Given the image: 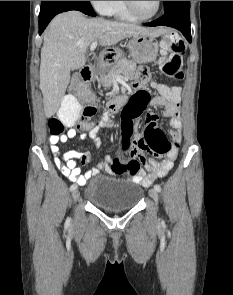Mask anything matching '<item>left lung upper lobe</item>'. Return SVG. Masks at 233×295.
Instances as JSON below:
<instances>
[{
  "label": "left lung upper lobe",
  "mask_w": 233,
  "mask_h": 295,
  "mask_svg": "<svg viewBox=\"0 0 233 295\" xmlns=\"http://www.w3.org/2000/svg\"><path fill=\"white\" fill-rule=\"evenodd\" d=\"M163 2H164V12H167L171 10L173 7H175L177 4L186 3L189 1H163Z\"/></svg>",
  "instance_id": "1"
}]
</instances>
